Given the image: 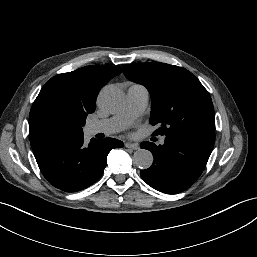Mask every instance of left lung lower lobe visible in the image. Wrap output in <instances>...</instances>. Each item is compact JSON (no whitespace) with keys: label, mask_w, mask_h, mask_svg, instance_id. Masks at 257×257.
<instances>
[{"label":"left lung lower lobe","mask_w":257,"mask_h":257,"mask_svg":"<svg viewBox=\"0 0 257 257\" xmlns=\"http://www.w3.org/2000/svg\"><path fill=\"white\" fill-rule=\"evenodd\" d=\"M214 146V131H186L165 137L163 145L143 142L154 161L141 170L142 179L154 189L177 194L190 187L203 172Z\"/></svg>","instance_id":"obj_1"}]
</instances>
